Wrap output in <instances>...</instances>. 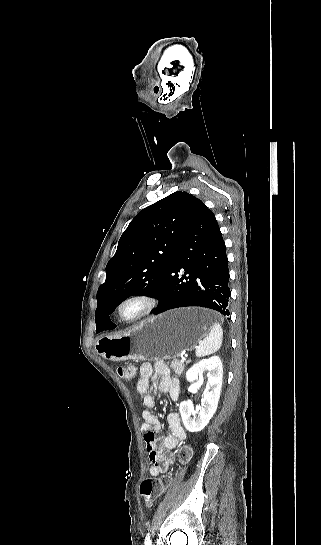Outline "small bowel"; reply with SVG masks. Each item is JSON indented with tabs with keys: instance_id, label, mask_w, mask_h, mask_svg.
Returning <instances> with one entry per match:
<instances>
[{
	"instance_id": "small-bowel-1",
	"label": "small bowel",
	"mask_w": 321,
	"mask_h": 545,
	"mask_svg": "<svg viewBox=\"0 0 321 545\" xmlns=\"http://www.w3.org/2000/svg\"><path fill=\"white\" fill-rule=\"evenodd\" d=\"M158 380V390L166 393L175 401L180 393V384L177 379L171 377L168 366L157 361L153 365L145 363L140 369V378L136 388L143 398V404L146 409L142 412V430L144 432V441L146 450L151 462L149 472L152 476H158L165 473L171 464L175 461V449L186 438V432L181 424L179 415L171 412L168 415L167 422L169 434L160 437L161 424L156 416L151 412L155 407V398L149 393V385L153 380Z\"/></svg>"
}]
</instances>
